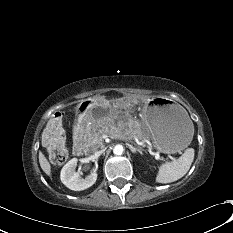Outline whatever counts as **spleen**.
Segmentation results:
<instances>
[{
  "label": "spleen",
  "mask_w": 233,
  "mask_h": 233,
  "mask_svg": "<svg viewBox=\"0 0 233 233\" xmlns=\"http://www.w3.org/2000/svg\"><path fill=\"white\" fill-rule=\"evenodd\" d=\"M193 160L194 149H186L179 159L160 166L156 182L166 184L179 180L188 172Z\"/></svg>",
  "instance_id": "spleen-1"
}]
</instances>
